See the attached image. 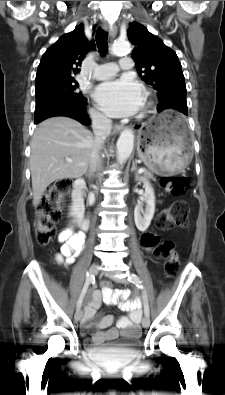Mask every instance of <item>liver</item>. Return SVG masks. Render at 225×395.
I'll return each mask as SVG.
<instances>
[{
  "mask_svg": "<svg viewBox=\"0 0 225 395\" xmlns=\"http://www.w3.org/2000/svg\"><path fill=\"white\" fill-rule=\"evenodd\" d=\"M93 142L91 131L72 118L53 117L37 126L30 156L34 206L52 182L86 173ZM67 158L72 162H67Z\"/></svg>",
  "mask_w": 225,
  "mask_h": 395,
  "instance_id": "1",
  "label": "liver"
}]
</instances>
